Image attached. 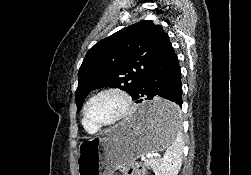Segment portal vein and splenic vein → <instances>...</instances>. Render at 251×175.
Here are the masks:
<instances>
[{
	"instance_id": "obj_1",
	"label": "portal vein and splenic vein",
	"mask_w": 251,
	"mask_h": 175,
	"mask_svg": "<svg viewBox=\"0 0 251 175\" xmlns=\"http://www.w3.org/2000/svg\"><path fill=\"white\" fill-rule=\"evenodd\" d=\"M156 157L163 158L164 152L163 151H152L151 153H144L143 155L140 156V159L142 161H145L147 158H156Z\"/></svg>"
}]
</instances>
